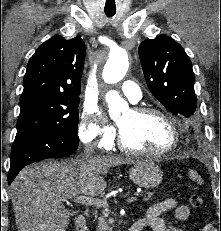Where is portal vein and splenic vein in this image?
<instances>
[{"label": "portal vein and splenic vein", "mask_w": 221, "mask_h": 231, "mask_svg": "<svg viewBox=\"0 0 221 231\" xmlns=\"http://www.w3.org/2000/svg\"><path fill=\"white\" fill-rule=\"evenodd\" d=\"M136 200H137L136 195H133V196H130V197L126 198V202H128V203L134 202ZM63 201L68 202L67 200H63ZM72 201H74L76 203H81V204H84V205H94V206L103 207V208L108 206V203L106 201H102V200L97 199V198L84 196L82 194L74 197L72 199Z\"/></svg>", "instance_id": "18ae733b"}]
</instances>
